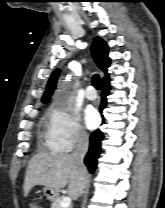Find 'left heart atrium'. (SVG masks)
Wrapping results in <instances>:
<instances>
[{"instance_id": "left-heart-atrium-1", "label": "left heart atrium", "mask_w": 165, "mask_h": 208, "mask_svg": "<svg viewBox=\"0 0 165 208\" xmlns=\"http://www.w3.org/2000/svg\"><path fill=\"white\" fill-rule=\"evenodd\" d=\"M85 124L89 129L95 128L99 123V114L96 109L88 108L84 112Z\"/></svg>"}]
</instances>
